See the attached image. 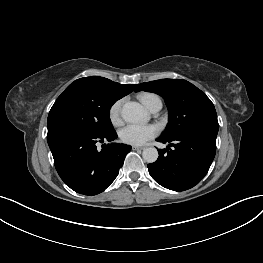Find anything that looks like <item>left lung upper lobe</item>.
<instances>
[{"label": "left lung upper lobe", "mask_w": 263, "mask_h": 263, "mask_svg": "<svg viewBox=\"0 0 263 263\" xmlns=\"http://www.w3.org/2000/svg\"><path fill=\"white\" fill-rule=\"evenodd\" d=\"M160 95L169 111V122L160 136L172 139L186 133H212L219 130L211 100L196 86L182 79H160L140 84L138 91Z\"/></svg>", "instance_id": "1"}]
</instances>
